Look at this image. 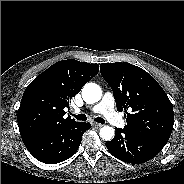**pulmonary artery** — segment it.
Returning a JSON list of instances; mask_svg holds the SVG:
<instances>
[{
    "mask_svg": "<svg viewBox=\"0 0 184 184\" xmlns=\"http://www.w3.org/2000/svg\"><path fill=\"white\" fill-rule=\"evenodd\" d=\"M92 112L102 114L111 124L117 127L125 126L124 119L115 110L114 97L110 92H106L100 102L93 106Z\"/></svg>",
    "mask_w": 184,
    "mask_h": 184,
    "instance_id": "e3ab8cb5",
    "label": "pulmonary artery"
}]
</instances>
